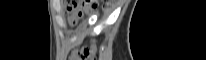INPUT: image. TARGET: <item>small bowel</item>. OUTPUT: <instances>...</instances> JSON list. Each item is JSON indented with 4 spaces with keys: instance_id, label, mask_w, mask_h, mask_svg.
I'll return each mask as SVG.
<instances>
[{
    "instance_id": "obj_1",
    "label": "small bowel",
    "mask_w": 206,
    "mask_h": 60,
    "mask_svg": "<svg viewBox=\"0 0 206 60\" xmlns=\"http://www.w3.org/2000/svg\"><path fill=\"white\" fill-rule=\"evenodd\" d=\"M72 59H73V60H77L78 58L74 55V56L72 57Z\"/></svg>"
}]
</instances>
